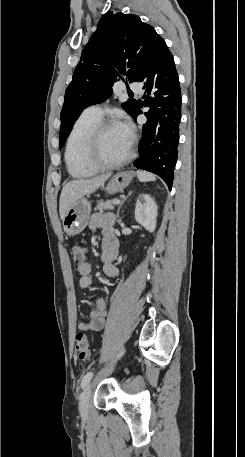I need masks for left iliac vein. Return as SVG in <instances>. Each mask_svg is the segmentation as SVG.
Listing matches in <instances>:
<instances>
[{
	"instance_id": "1",
	"label": "left iliac vein",
	"mask_w": 245,
	"mask_h": 457,
	"mask_svg": "<svg viewBox=\"0 0 245 457\" xmlns=\"http://www.w3.org/2000/svg\"><path fill=\"white\" fill-rule=\"evenodd\" d=\"M92 396V387L88 385L79 399V411L83 417L88 416L89 402Z\"/></svg>"
}]
</instances>
